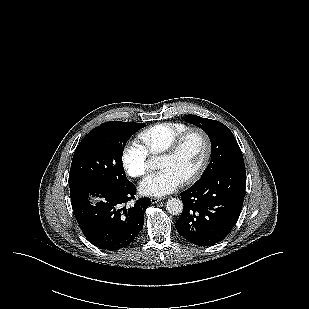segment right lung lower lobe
Returning a JSON list of instances; mask_svg holds the SVG:
<instances>
[{
    "mask_svg": "<svg viewBox=\"0 0 309 309\" xmlns=\"http://www.w3.org/2000/svg\"><path fill=\"white\" fill-rule=\"evenodd\" d=\"M136 187L105 183H85L70 188L71 204L77 222L89 242L104 250H119L131 244L144 224V213L151 204L142 198L126 209Z\"/></svg>",
    "mask_w": 309,
    "mask_h": 309,
    "instance_id": "98d812e1",
    "label": "right lung lower lobe"
}]
</instances>
